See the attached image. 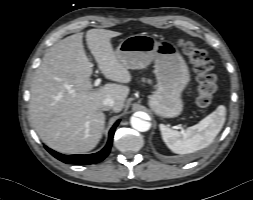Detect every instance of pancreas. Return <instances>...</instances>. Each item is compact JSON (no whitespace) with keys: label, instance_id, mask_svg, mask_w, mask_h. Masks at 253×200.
<instances>
[{"label":"pancreas","instance_id":"pancreas-1","mask_svg":"<svg viewBox=\"0 0 253 200\" xmlns=\"http://www.w3.org/2000/svg\"><path fill=\"white\" fill-rule=\"evenodd\" d=\"M143 81H148V82H151V80H145V79H143Z\"/></svg>","mask_w":253,"mask_h":200}]
</instances>
